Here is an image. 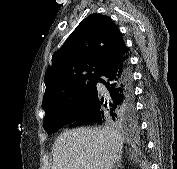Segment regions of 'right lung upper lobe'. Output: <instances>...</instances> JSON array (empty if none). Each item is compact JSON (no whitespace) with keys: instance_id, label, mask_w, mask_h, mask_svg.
I'll use <instances>...</instances> for the list:
<instances>
[{"instance_id":"1","label":"right lung upper lobe","mask_w":177,"mask_h":169,"mask_svg":"<svg viewBox=\"0 0 177 169\" xmlns=\"http://www.w3.org/2000/svg\"><path fill=\"white\" fill-rule=\"evenodd\" d=\"M124 57H128L127 47L116 24L105 15H89L54 53L45 73L43 107L95 81L106 67Z\"/></svg>"}]
</instances>
